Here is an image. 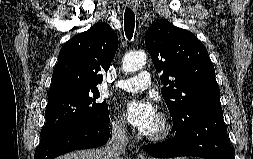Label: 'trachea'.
I'll list each match as a JSON object with an SVG mask.
<instances>
[{
	"instance_id": "1",
	"label": "trachea",
	"mask_w": 253,
	"mask_h": 159,
	"mask_svg": "<svg viewBox=\"0 0 253 159\" xmlns=\"http://www.w3.org/2000/svg\"><path fill=\"white\" fill-rule=\"evenodd\" d=\"M135 27V15L130 8H126L124 14V30L126 37L130 40L133 37Z\"/></svg>"
}]
</instances>
